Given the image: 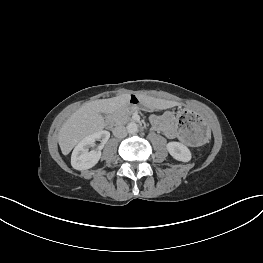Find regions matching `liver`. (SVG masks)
Segmentation results:
<instances>
[{
	"label": "liver",
	"mask_w": 263,
	"mask_h": 263,
	"mask_svg": "<svg viewBox=\"0 0 263 263\" xmlns=\"http://www.w3.org/2000/svg\"><path fill=\"white\" fill-rule=\"evenodd\" d=\"M145 104L154 109L163 110L178 106L176 101L158 99L144 95H137ZM130 94H122L109 99H100L83 104L62 125L58 142L64 155L71 152L74 146L86 136L101 131L105 127L102 114H113L126 109L129 105Z\"/></svg>",
	"instance_id": "1"
}]
</instances>
